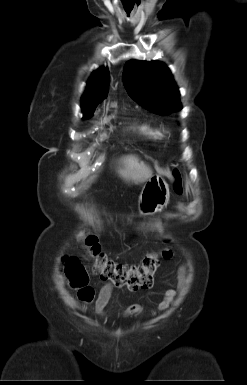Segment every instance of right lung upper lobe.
Returning <instances> with one entry per match:
<instances>
[{
	"label": "right lung upper lobe",
	"mask_w": 247,
	"mask_h": 385,
	"mask_svg": "<svg viewBox=\"0 0 247 385\" xmlns=\"http://www.w3.org/2000/svg\"><path fill=\"white\" fill-rule=\"evenodd\" d=\"M109 86V72L100 68L93 72L89 79L87 91L82 97L84 116L93 114L98 103L107 96Z\"/></svg>",
	"instance_id": "obj_1"
}]
</instances>
